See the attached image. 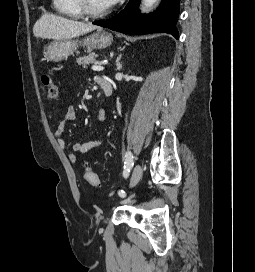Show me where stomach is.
Masks as SVG:
<instances>
[{
	"mask_svg": "<svg viewBox=\"0 0 255 272\" xmlns=\"http://www.w3.org/2000/svg\"><path fill=\"white\" fill-rule=\"evenodd\" d=\"M112 41L113 36L110 33L99 29L82 41L72 39L56 40L46 47L45 56L49 61L59 62L73 55L79 45H85L92 49H103L110 46Z\"/></svg>",
	"mask_w": 255,
	"mask_h": 272,
	"instance_id": "0dacf381",
	"label": "stomach"
}]
</instances>
